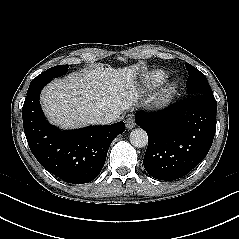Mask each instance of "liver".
I'll return each mask as SVG.
<instances>
[{"mask_svg": "<svg viewBox=\"0 0 239 239\" xmlns=\"http://www.w3.org/2000/svg\"><path fill=\"white\" fill-rule=\"evenodd\" d=\"M137 66L123 69L96 65L48 84L41 104L49 121L63 129L96 124L98 114L115 120L138 100L135 85Z\"/></svg>", "mask_w": 239, "mask_h": 239, "instance_id": "6515ba94", "label": "liver"}]
</instances>
